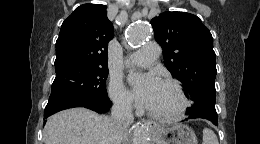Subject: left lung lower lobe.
Returning <instances> with one entry per match:
<instances>
[{"instance_id": "obj_1", "label": "left lung lower lobe", "mask_w": 260, "mask_h": 144, "mask_svg": "<svg viewBox=\"0 0 260 144\" xmlns=\"http://www.w3.org/2000/svg\"><path fill=\"white\" fill-rule=\"evenodd\" d=\"M190 119H197V118H202V119H207L211 121L213 124L218 126V117L217 113L214 112H201L198 115H192L189 116Z\"/></svg>"}]
</instances>
